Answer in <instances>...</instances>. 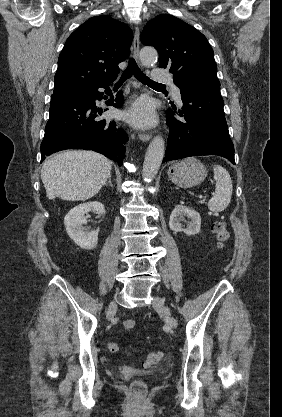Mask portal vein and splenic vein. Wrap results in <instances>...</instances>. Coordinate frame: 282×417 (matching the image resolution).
Returning <instances> with one entry per match:
<instances>
[{
  "instance_id": "18ae733b",
  "label": "portal vein and splenic vein",
  "mask_w": 282,
  "mask_h": 417,
  "mask_svg": "<svg viewBox=\"0 0 282 417\" xmlns=\"http://www.w3.org/2000/svg\"><path fill=\"white\" fill-rule=\"evenodd\" d=\"M210 196H211V197H214V196H215V193H214V192H211V193H210Z\"/></svg>"
}]
</instances>
